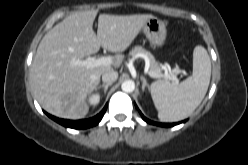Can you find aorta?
<instances>
[{
  "label": "aorta",
  "mask_w": 248,
  "mask_h": 165,
  "mask_svg": "<svg viewBox=\"0 0 248 165\" xmlns=\"http://www.w3.org/2000/svg\"><path fill=\"white\" fill-rule=\"evenodd\" d=\"M121 89L126 93H131L135 89V83L132 80H126L122 83Z\"/></svg>",
  "instance_id": "aorta-1"
}]
</instances>
